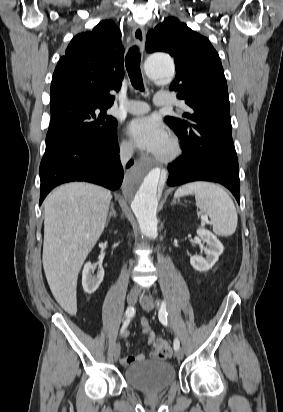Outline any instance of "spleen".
Listing matches in <instances>:
<instances>
[{
	"mask_svg": "<svg viewBox=\"0 0 283 412\" xmlns=\"http://www.w3.org/2000/svg\"><path fill=\"white\" fill-rule=\"evenodd\" d=\"M187 195H195L197 206L210 217L215 234L227 237L235 232L237 211L232 199L221 187L209 182H192L179 187L174 197Z\"/></svg>",
	"mask_w": 283,
	"mask_h": 412,
	"instance_id": "obj_1",
	"label": "spleen"
}]
</instances>
